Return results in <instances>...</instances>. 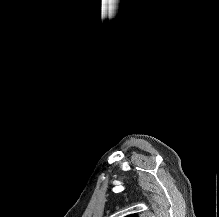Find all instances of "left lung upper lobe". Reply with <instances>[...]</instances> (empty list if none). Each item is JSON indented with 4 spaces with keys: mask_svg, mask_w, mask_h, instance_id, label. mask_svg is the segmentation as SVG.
I'll return each instance as SVG.
<instances>
[{
    "mask_svg": "<svg viewBox=\"0 0 219 217\" xmlns=\"http://www.w3.org/2000/svg\"><path fill=\"white\" fill-rule=\"evenodd\" d=\"M127 217H136L135 215H129V216H127Z\"/></svg>",
    "mask_w": 219,
    "mask_h": 217,
    "instance_id": "left-lung-upper-lobe-1",
    "label": "left lung upper lobe"
}]
</instances>
